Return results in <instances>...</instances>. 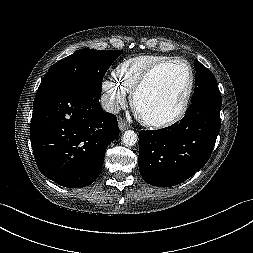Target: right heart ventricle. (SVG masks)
<instances>
[{"label":"right heart ventricle","instance_id":"e07e8e85","mask_svg":"<svg viewBox=\"0 0 253 253\" xmlns=\"http://www.w3.org/2000/svg\"><path fill=\"white\" fill-rule=\"evenodd\" d=\"M170 59L159 54H143L122 61L114 69V83L125 93L131 94L142 75L154 64Z\"/></svg>","mask_w":253,"mask_h":253}]
</instances>
